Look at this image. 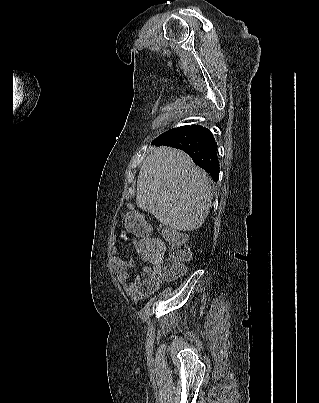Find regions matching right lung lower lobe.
I'll list each match as a JSON object with an SVG mask.
<instances>
[{
    "label": "right lung lower lobe",
    "instance_id": "right-lung-lower-lobe-1",
    "mask_svg": "<svg viewBox=\"0 0 319 403\" xmlns=\"http://www.w3.org/2000/svg\"><path fill=\"white\" fill-rule=\"evenodd\" d=\"M152 144L183 150L193 159L196 165L209 173L215 182L218 180L217 144L208 129L198 125L178 127L161 134L153 140Z\"/></svg>",
    "mask_w": 319,
    "mask_h": 403
}]
</instances>
